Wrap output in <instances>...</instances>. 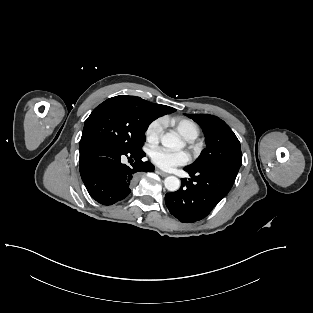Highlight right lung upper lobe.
Wrapping results in <instances>:
<instances>
[{"mask_svg":"<svg viewBox=\"0 0 313 313\" xmlns=\"http://www.w3.org/2000/svg\"><path fill=\"white\" fill-rule=\"evenodd\" d=\"M129 97H131L132 99L137 100L139 102L145 103L149 107V109L157 116V118L160 116H163L165 114H169V113L176 111V109H174L172 107L150 103L146 100L141 99L140 97H134V96H129Z\"/></svg>","mask_w":313,"mask_h":313,"instance_id":"right-lung-upper-lobe-1","label":"right lung upper lobe"}]
</instances>
